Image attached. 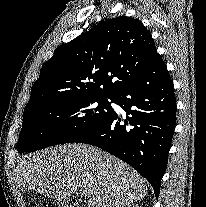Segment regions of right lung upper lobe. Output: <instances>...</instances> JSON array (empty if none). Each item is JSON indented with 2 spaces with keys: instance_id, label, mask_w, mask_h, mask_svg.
<instances>
[{
  "instance_id": "1",
  "label": "right lung upper lobe",
  "mask_w": 206,
  "mask_h": 207,
  "mask_svg": "<svg viewBox=\"0 0 206 207\" xmlns=\"http://www.w3.org/2000/svg\"><path fill=\"white\" fill-rule=\"evenodd\" d=\"M159 56L151 33L138 19L101 22L55 50L32 87L25 111L50 101L114 96Z\"/></svg>"
}]
</instances>
